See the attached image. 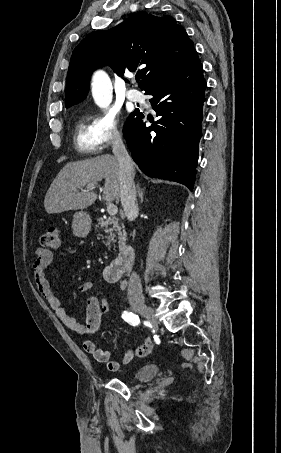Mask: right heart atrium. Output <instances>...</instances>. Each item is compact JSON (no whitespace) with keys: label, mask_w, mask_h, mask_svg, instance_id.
<instances>
[{"label":"right heart atrium","mask_w":281,"mask_h":453,"mask_svg":"<svg viewBox=\"0 0 281 453\" xmlns=\"http://www.w3.org/2000/svg\"><path fill=\"white\" fill-rule=\"evenodd\" d=\"M91 86L92 94L95 99L107 95L106 85L102 81L97 80L95 76L92 79ZM92 124L101 144L105 148H110L122 140V124L114 112L107 110L99 113L94 118ZM101 160L107 174L114 175L119 171L118 162L108 154H105Z\"/></svg>","instance_id":"obj_1"}]
</instances>
